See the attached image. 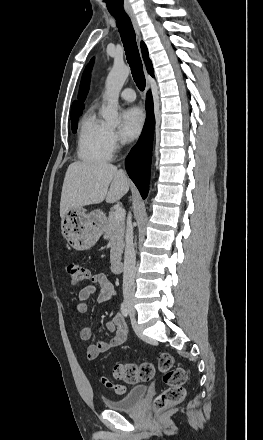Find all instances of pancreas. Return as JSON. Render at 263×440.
Returning a JSON list of instances; mask_svg holds the SVG:
<instances>
[{
  "instance_id": "1",
  "label": "pancreas",
  "mask_w": 263,
  "mask_h": 440,
  "mask_svg": "<svg viewBox=\"0 0 263 440\" xmlns=\"http://www.w3.org/2000/svg\"><path fill=\"white\" fill-rule=\"evenodd\" d=\"M125 219L116 220L114 212H109V217L105 222L104 237L109 241L111 248L110 261L115 263L121 258L124 247Z\"/></svg>"
}]
</instances>
